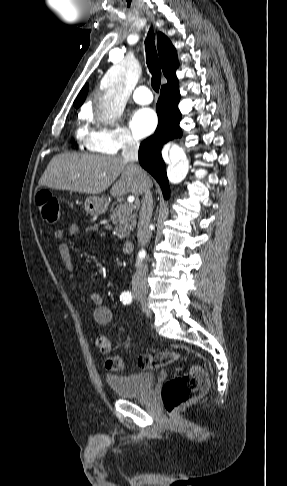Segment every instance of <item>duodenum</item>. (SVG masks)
<instances>
[{"mask_svg":"<svg viewBox=\"0 0 287 486\" xmlns=\"http://www.w3.org/2000/svg\"><path fill=\"white\" fill-rule=\"evenodd\" d=\"M134 242L132 240H127L122 246V251L124 254H130L133 251Z\"/></svg>","mask_w":287,"mask_h":486,"instance_id":"410a0bca","label":"duodenum"}]
</instances>
